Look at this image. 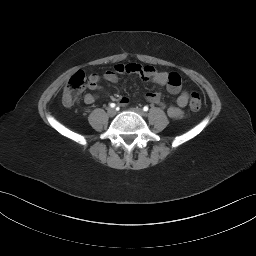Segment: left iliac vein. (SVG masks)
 <instances>
[{"label":"left iliac vein","instance_id":"left-iliac-vein-1","mask_svg":"<svg viewBox=\"0 0 256 256\" xmlns=\"http://www.w3.org/2000/svg\"><path fill=\"white\" fill-rule=\"evenodd\" d=\"M133 111L138 113L141 116H145V112L141 108L136 107L133 109Z\"/></svg>","mask_w":256,"mask_h":256}]
</instances>
